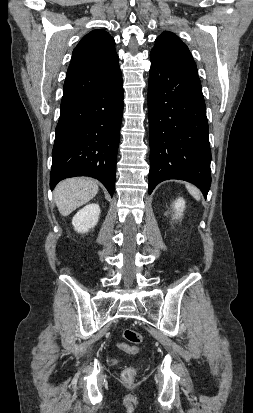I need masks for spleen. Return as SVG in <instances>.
Here are the masks:
<instances>
[{"instance_id":"1","label":"spleen","mask_w":253,"mask_h":413,"mask_svg":"<svg viewBox=\"0 0 253 413\" xmlns=\"http://www.w3.org/2000/svg\"><path fill=\"white\" fill-rule=\"evenodd\" d=\"M186 188L188 190V192L196 199V200H200L201 199V193L200 191L193 185L191 184H186Z\"/></svg>"}]
</instances>
